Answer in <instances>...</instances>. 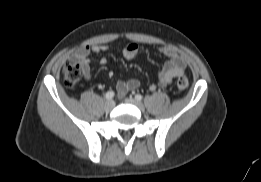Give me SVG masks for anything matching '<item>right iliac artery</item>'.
Instances as JSON below:
<instances>
[{"mask_svg": "<svg viewBox=\"0 0 261 182\" xmlns=\"http://www.w3.org/2000/svg\"><path fill=\"white\" fill-rule=\"evenodd\" d=\"M114 95L115 93L113 91H108L106 94H105V97L106 99L110 100V99H113L114 98Z\"/></svg>", "mask_w": 261, "mask_h": 182, "instance_id": "obj_1", "label": "right iliac artery"}]
</instances>
